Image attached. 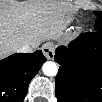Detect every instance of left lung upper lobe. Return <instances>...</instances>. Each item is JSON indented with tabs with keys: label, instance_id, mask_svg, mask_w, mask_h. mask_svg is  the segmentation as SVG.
<instances>
[{
	"label": "left lung upper lobe",
	"instance_id": "left-lung-upper-lobe-1",
	"mask_svg": "<svg viewBox=\"0 0 102 102\" xmlns=\"http://www.w3.org/2000/svg\"><path fill=\"white\" fill-rule=\"evenodd\" d=\"M97 16L96 23H95V30L102 31V13L100 11L94 12Z\"/></svg>",
	"mask_w": 102,
	"mask_h": 102
}]
</instances>
